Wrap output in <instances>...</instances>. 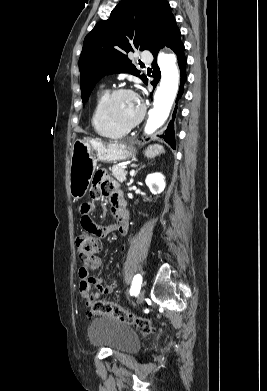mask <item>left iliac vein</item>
<instances>
[{"label":"left iliac vein","instance_id":"4c4485c4","mask_svg":"<svg viewBox=\"0 0 267 391\" xmlns=\"http://www.w3.org/2000/svg\"><path fill=\"white\" fill-rule=\"evenodd\" d=\"M145 297V291L141 290L136 298V304H141Z\"/></svg>","mask_w":267,"mask_h":391}]
</instances>
